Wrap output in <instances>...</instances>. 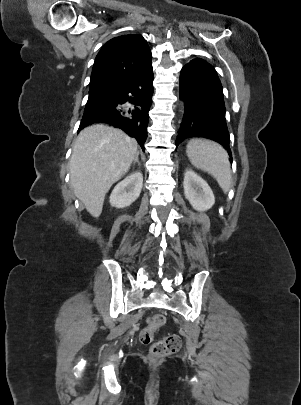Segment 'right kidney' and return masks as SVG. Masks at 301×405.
Instances as JSON below:
<instances>
[{"label": "right kidney", "instance_id": "ca27d5eb", "mask_svg": "<svg viewBox=\"0 0 301 405\" xmlns=\"http://www.w3.org/2000/svg\"><path fill=\"white\" fill-rule=\"evenodd\" d=\"M143 185L141 172H133L119 182L110 195L109 202L116 208L130 206L140 195Z\"/></svg>", "mask_w": 301, "mask_h": 405}]
</instances>
